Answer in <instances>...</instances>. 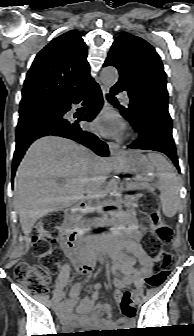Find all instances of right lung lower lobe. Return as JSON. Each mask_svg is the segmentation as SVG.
<instances>
[{
	"label": "right lung lower lobe",
	"instance_id": "right-lung-lower-lobe-1",
	"mask_svg": "<svg viewBox=\"0 0 194 336\" xmlns=\"http://www.w3.org/2000/svg\"><path fill=\"white\" fill-rule=\"evenodd\" d=\"M72 104L89 105L88 112L78 119L65 117ZM103 98L98 84L92 79L81 88L56 104L42 108L35 113L19 117L16 132V149L13 157L12 182L26 150L37 138L53 135L79 142L92 149L99 156H108V146L96 135L80 128V121H91L102 108Z\"/></svg>",
	"mask_w": 194,
	"mask_h": 336
}]
</instances>
